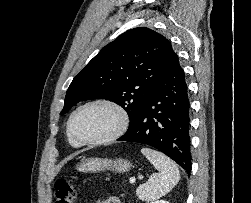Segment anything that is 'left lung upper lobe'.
<instances>
[{"mask_svg": "<svg viewBox=\"0 0 251 203\" xmlns=\"http://www.w3.org/2000/svg\"><path fill=\"white\" fill-rule=\"evenodd\" d=\"M173 53L170 42L149 28L124 32L75 76L61 115L80 101L106 99L126 110L130 128Z\"/></svg>", "mask_w": 251, "mask_h": 203, "instance_id": "1", "label": "left lung upper lobe"}]
</instances>
